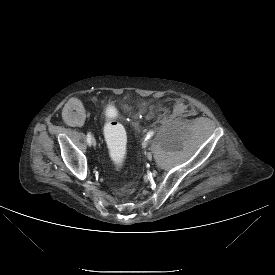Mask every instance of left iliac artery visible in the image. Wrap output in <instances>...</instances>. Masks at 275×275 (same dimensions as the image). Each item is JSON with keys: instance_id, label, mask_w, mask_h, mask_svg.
<instances>
[{"instance_id": "obj_1", "label": "left iliac artery", "mask_w": 275, "mask_h": 275, "mask_svg": "<svg viewBox=\"0 0 275 275\" xmlns=\"http://www.w3.org/2000/svg\"><path fill=\"white\" fill-rule=\"evenodd\" d=\"M153 134H154V132H153V131H149V132H148V134H147V139H149L150 137H152V136H153Z\"/></svg>"}]
</instances>
